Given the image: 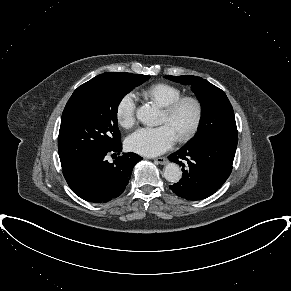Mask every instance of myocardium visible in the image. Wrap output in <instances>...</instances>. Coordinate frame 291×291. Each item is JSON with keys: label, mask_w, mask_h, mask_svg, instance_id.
<instances>
[{"label": "myocardium", "mask_w": 291, "mask_h": 291, "mask_svg": "<svg viewBox=\"0 0 291 291\" xmlns=\"http://www.w3.org/2000/svg\"><path fill=\"white\" fill-rule=\"evenodd\" d=\"M186 103L192 104L194 107L195 115L190 128L184 134L177 137V141L180 143L189 141L199 130L204 115L203 104L201 100L195 96H181L163 109V112L168 117H173Z\"/></svg>", "instance_id": "myocardium-1"}]
</instances>
